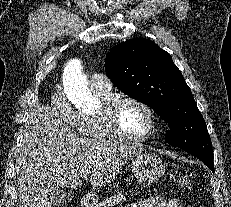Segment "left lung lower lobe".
Instances as JSON below:
<instances>
[{"label":"left lung lower lobe","instance_id":"0a47b994","mask_svg":"<svg viewBox=\"0 0 231 207\" xmlns=\"http://www.w3.org/2000/svg\"><path fill=\"white\" fill-rule=\"evenodd\" d=\"M189 153L199 158L203 163H205L214 172L213 155H207V154L200 153V152H189Z\"/></svg>","mask_w":231,"mask_h":207}]
</instances>
